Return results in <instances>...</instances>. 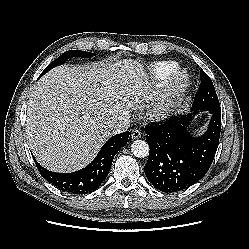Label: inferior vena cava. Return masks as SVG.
<instances>
[{
    "instance_id": "602c4592",
    "label": "inferior vena cava",
    "mask_w": 249,
    "mask_h": 249,
    "mask_svg": "<svg viewBox=\"0 0 249 249\" xmlns=\"http://www.w3.org/2000/svg\"><path fill=\"white\" fill-rule=\"evenodd\" d=\"M130 127L129 117H119L117 121L110 125V131L112 134L122 133L128 130Z\"/></svg>"
}]
</instances>
